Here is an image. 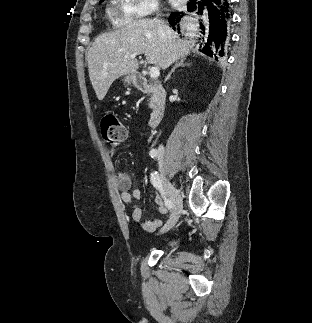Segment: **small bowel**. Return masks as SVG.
<instances>
[{
  "label": "small bowel",
  "instance_id": "c3829d8e",
  "mask_svg": "<svg viewBox=\"0 0 312 323\" xmlns=\"http://www.w3.org/2000/svg\"><path fill=\"white\" fill-rule=\"evenodd\" d=\"M110 155L116 153L115 148H110ZM116 185L121 192L122 202L129 206L131 209V220L136 224H140L142 229L146 232H153L162 224V219L158 218L152 221L142 220V209L135 203L136 200L141 198V192L138 189L130 191L132 186L131 175L127 172H117L116 174ZM158 212L162 217H166L169 213L168 208L164 205L160 197L155 199Z\"/></svg>",
  "mask_w": 312,
  "mask_h": 323
}]
</instances>
